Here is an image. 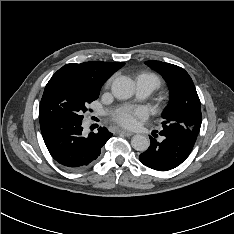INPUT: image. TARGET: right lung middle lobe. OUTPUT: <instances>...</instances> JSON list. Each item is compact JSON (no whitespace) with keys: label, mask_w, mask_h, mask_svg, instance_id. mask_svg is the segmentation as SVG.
I'll return each mask as SVG.
<instances>
[{"label":"right lung middle lobe","mask_w":234,"mask_h":234,"mask_svg":"<svg viewBox=\"0 0 234 234\" xmlns=\"http://www.w3.org/2000/svg\"><path fill=\"white\" fill-rule=\"evenodd\" d=\"M99 90L54 74L40 102V123L53 119L82 120L88 104L98 98Z\"/></svg>","instance_id":"dd1d6c3e"}]
</instances>
